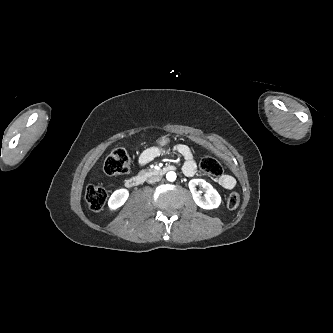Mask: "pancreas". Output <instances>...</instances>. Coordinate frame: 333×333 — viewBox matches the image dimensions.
<instances>
[{
    "label": "pancreas",
    "instance_id": "cf45deb5",
    "mask_svg": "<svg viewBox=\"0 0 333 333\" xmlns=\"http://www.w3.org/2000/svg\"><path fill=\"white\" fill-rule=\"evenodd\" d=\"M145 173H146V171L142 170V171L139 172V175H144Z\"/></svg>",
    "mask_w": 333,
    "mask_h": 333
}]
</instances>
